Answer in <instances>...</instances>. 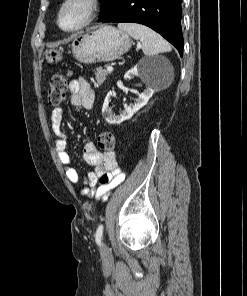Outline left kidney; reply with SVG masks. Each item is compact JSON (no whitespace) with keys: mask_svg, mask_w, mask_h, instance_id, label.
<instances>
[{"mask_svg":"<svg viewBox=\"0 0 247 296\" xmlns=\"http://www.w3.org/2000/svg\"><path fill=\"white\" fill-rule=\"evenodd\" d=\"M169 62L163 58L142 59L139 63L130 69L124 76L125 79H131L138 76L148 86L146 90L138 95L134 104L125 105L124 111L119 115L112 113L109 102L112 93H108L105 97L102 114L106 121L110 124H120L130 119L138 110L144 107L155 92V78L158 76L162 68H168Z\"/></svg>","mask_w":247,"mask_h":296,"instance_id":"1","label":"left kidney"}]
</instances>
